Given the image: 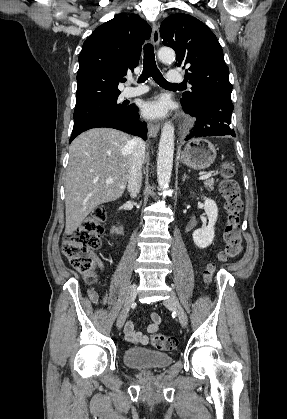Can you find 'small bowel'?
Instances as JSON below:
<instances>
[{"label": "small bowel", "mask_w": 287, "mask_h": 419, "mask_svg": "<svg viewBox=\"0 0 287 419\" xmlns=\"http://www.w3.org/2000/svg\"><path fill=\"white\" fill-rule=\"evenodd\" d=\"M88 297L92 303L96 304L100 301L98 295L95 292H89ZM151 322L147 327L148 335L138 332L134 328V323L132 321H127L125 324L124 332L126 339L134 344L145 345L149 341V335L155 333L158 330V327L161 323V316L158 313H152L150 315Z\"/></svg>", "instance_id": "small-bowel-1"}]
</instances>
